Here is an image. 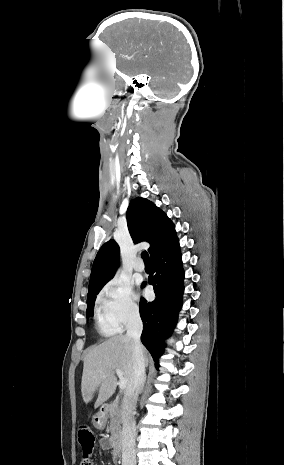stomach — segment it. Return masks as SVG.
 I'll return each instance as SVG.
<instances>
[{
    "mask_svg": "<svg viewBox=\"0 0 284 465\" xmlns=\"http://www.w3.org/2000/svg\"><path fill=\"white\" fill-rule=\"evenodd\" d=\"M92 423L96 429L103 431L106 427L107 417H105L104 413H96V415L92 417Z\"/></svg>",
    "mask_w": 284,
    "mask_h": 465,
    "instance_id": "1",
    "label": "stomach"
}]
</instances>
